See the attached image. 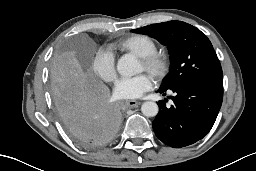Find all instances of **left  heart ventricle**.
Masks as SVG:
<instances>
[{
	"instance_id": "1",
	"label": "left heart ventricle",
	"mask_w": 256,
	"mask_h": 171,
	"mask_svg": "<svg viewBox=\"0 0 256 171\" xmlns=\"http://www.w3.org/2000/svg\"><path fill=\"white\" fill-rule=\"evenodd\" d=\"M140 69L144 70V65L142 64V62H140Z\"/></svg>"
}]
</instances>
